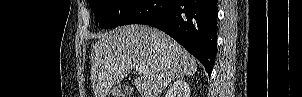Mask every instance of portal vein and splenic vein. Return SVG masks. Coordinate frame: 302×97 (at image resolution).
<instances>
[{"label":"portal vein and splenic vein","mask_w":302,"mask_h":97,"mask_svg":"<svg viewBox=\"0 0 302 97\" xmlns=\"http://www.w3.org/2000/svg\"><path fill=\"white\" fill-rule=\"evenodd\" d=\"M136 71H138L139 73H147L148 69H147V67H145L143 65H139L136 67Z\"/></svg>","instance_id":"portal-vein-and-splenic-vein-1"}]
</instances>
